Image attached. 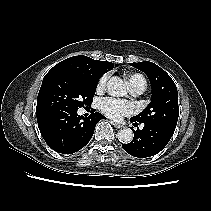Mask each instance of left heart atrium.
Wrapping results in <instances>:
<instances>
[{
    "mask_svg": "<svg viewBox=\"0 0 211 211\" xmlns=\"http://www.w3.org/2000/svg\"><path fill=\"white\" fill-rule=\"evenodd\" d=\"M100 110L109 118L120 120L124 116L135 112L136 107L132 102L115 98H104L100 102Z\"/></svg>",
    "mask_w": 211,
    "mask_h": 211,
    "instance_id": "left-heart-atrium-1",
    "label": "left heart atrium"
}]
</instances>
